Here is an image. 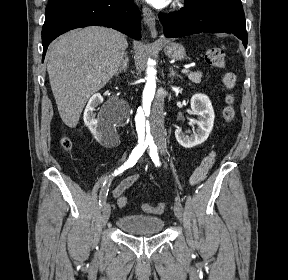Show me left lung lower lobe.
Wrapping results in <instances>:
<instances>
[{
  "mask_svg": "<svg viewBox=\"0 0 288 280\" xmlns=\"http://www.w3.org/2000/svg\"><path fill=\"white\" fill-rule=\"evenodd\" d=\"M166 37H183L196 33H231L247 47L245 16L231 9L201 0L187 4L176 12L160 13Z\"/></svg>",
  "mask_w": 288,
  "mask_h": 280,
  "instance_id": "left-lung-lower-lobe-1",
  "label": "left lung lower lobe"
}]
</instances>
